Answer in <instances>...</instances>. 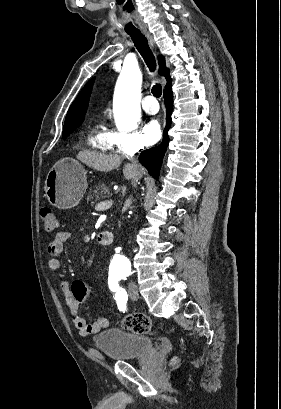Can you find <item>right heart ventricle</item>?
I'll return each instance as SVG.
<instances>
[{
  "label": "right heart ventricle",
  "mask_w": 281,
  "mask_h": 409,
  "mask_svg": "<svg viewBox=\"0 0 281 409\" xmlns=\"http://www.w3.org/2000/svg\"><path fill=\"white\" fill-rule=\"evenodd\" d=\"M91 146L99 154H106L114 150V144L112 142L111 132L105 127L104 124H96L91 131ZM122 152L126 150L119 148Z\"/></svg>",
  "instance_id": "1"
}]
</instances>
